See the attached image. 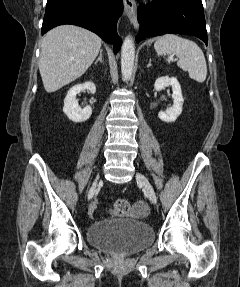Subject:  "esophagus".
<instances>
[{
  "mask_svg": "<svg viewBox=\"0 0 240 287\" xmlns=\"http://www.w3.org/2000/svg\"><path fill=\"white\" fill-rule=\"evenodd\" d=\"M124 13L128 16L135 28L139 27L135 0H124Z\"/></svg>",
  "mask_w": 240,
  "mask_h": 287,
  "instance_id": "esophagus-1",
  "label": "esophagus"
}]
</instances>
